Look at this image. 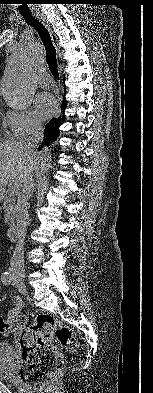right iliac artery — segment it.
Here are the masks:
<instances>
[{
  "label": "right iliac artery",
  "mask_w": 153,
  "mask_h": 393,
  "mask_svg": "<svg viewBox=\"0 0 153 393\" xmlns=\"http://www.w3.org/2000/svg\"><path fill=\"white\" fill-rule=\"evenodd\" d=\"M1 280L4 284L9 285L12 282V276L9 272H4L1 275Z\"/></svg>",
  "instance_id": "1"
}]
</instances>
